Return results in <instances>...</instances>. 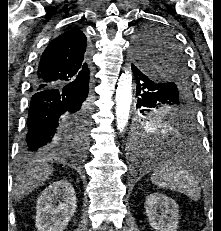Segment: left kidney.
<instances>
[{"label": "left kidney", "instance_id": "obj_1", "mask_svg": "<svg viewBox=\"0 0 221 231\" xmlns=\"http://www.w3.org/2000/svg\"><path fill=\"white\" fill-rule=\"evenodd\" d=\"M145 210L150 226L156 231H177L179 207L172 198L152 193L146 198Z\"/></svg>", "mask_w": 221, "mask_h": 231}]
</instances>
